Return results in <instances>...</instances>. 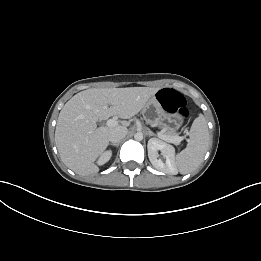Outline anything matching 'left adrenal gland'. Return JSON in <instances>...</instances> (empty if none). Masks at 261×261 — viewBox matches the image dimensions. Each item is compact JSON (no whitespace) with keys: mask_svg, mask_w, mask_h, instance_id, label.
Listing matches in <instances>:
<instances>
[{"mask_svg":"<svg viewBox=\"0 0 261 261\" xmlns=\"http://www.w3.org/2000/svg\"><path fill=\"white\" fill-rule=\"evenodd\" d=\"M147 135L150 137V136H155V134L150 130V129H147Z\"/></svg>","mask_w":261,"mask_h":261,"instance_id":"left-adrenal-gland-1","label":"left adrenal gland"}]
</instances>
